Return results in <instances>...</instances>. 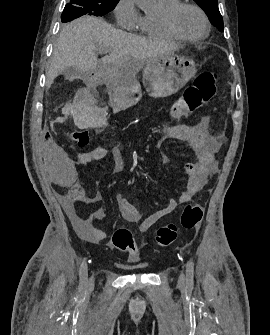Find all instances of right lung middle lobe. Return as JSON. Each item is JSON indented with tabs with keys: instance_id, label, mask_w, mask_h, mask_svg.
I'll use <instances>...</instances> for the list:
<instances>
[{
	"instance_id": "right-lung-middle-lobe-1",
	"label": "right lung middle lobe",
	"mask_w": 270,
	"mask_h": 335,
	"mask_svg": "<svg viewBox=\"0 0 270 335\" xmlns=\"http://www.w3.org/2000/svg\"><path fill=\"white\" fill-rule=\"evenodd\" d=\"M119 0H70L61 15L62 22L72 21L80 16H103L114 9Z\"/></svg>"
}]
</instances>
